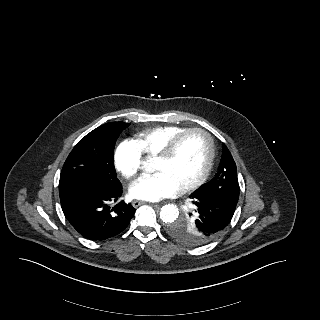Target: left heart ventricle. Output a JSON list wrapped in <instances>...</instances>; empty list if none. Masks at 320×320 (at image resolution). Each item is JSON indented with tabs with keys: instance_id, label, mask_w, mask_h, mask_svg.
Returning <instances> with one entry per match:
<instances>
[{
	"instance_id": "left-heart-ventricle-1",
	"label": "left heart ventricle",
	"mask_w": 320,
	"mask_h": 320,
	"mask_svg": "<svg viewBox=\"0 0 320 320\" xmlns=\"http://www.w3.org/2000/svg\"><path fill=\"white\" fill-rule=\"evenodd\" d=\"M207 157L206 138L199 133L190 134L181 141L170 160H156L153 164V171L166 174L181 187L202 173Z\"/></svg>"
}]
</instances>
